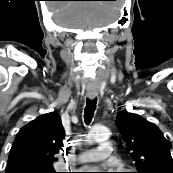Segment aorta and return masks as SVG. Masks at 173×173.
<instances>
[{"label":"aorta","instance_id":"aorta-1","mask_svg":"<svg viewBox=\"0 0 173 173\" xmlns=\"http://www.w3.org/2000/svg\"><path fill=\"white\" fill-rule=\"evenodd\" d=\"M109 129L104 126H97L91 129L88 135V141L93 143L95 141H102L108 138Z\"/></svg>","mask_w":173,"mask_h":173}]
</instances>
